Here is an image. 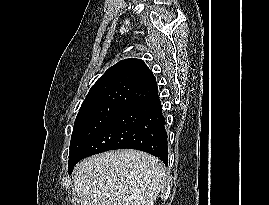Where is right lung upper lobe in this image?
Segmentation results:
<instances>
[{"mask_svg":"<svg viewBox=\"0 0 269 205\" xmlns=\"http://www.w3.org/2000/svg\"><path fill=\"white\" fill-rule=\"evenodd\" d=\"M158 95L157 83L141 59H125L110 67L90 89L82 107H129Z\"/></svg>","mask_w":269,"mask_h":205,"instance_id":"right-lung-upper-lobe-1","label":"right lung upper lobe"}]
</instances>
